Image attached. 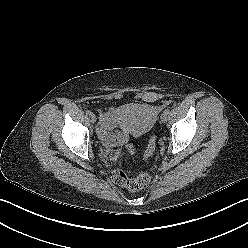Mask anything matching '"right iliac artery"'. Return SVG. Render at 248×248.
Segmentation results:
<instances>
[{
  "label": "right iliac artery",
  "mask_w": 248,
  "mask_h": 248,
  "mask_svg": "<svg viewBox=\"0 0 248 248\" xmlns=\"http://www.w3.org/2000/svg\"><path fill=\"white\" fill-rule=\"evenodd\" d=\"M91 114H92V113H91L90 110H87V111H86V115H87V116H90Z\"/></svg>",
  "instance_id": "82829eb1"
}]
</instances>
